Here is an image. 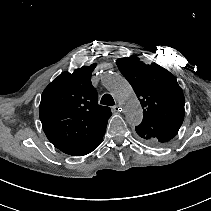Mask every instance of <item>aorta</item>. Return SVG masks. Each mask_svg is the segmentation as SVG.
<instances>
[{
  "label": "aorta",
  "mask_w": 211,
  "mask_h": 211,
  "mask_svg": "<svg viewBox=\"0 0 211 211\" xmlns=\"http://www.w3.org/2000/svg\"><path fill=\"white\" fill-rule=\"evenodd\" d=\"M105 86L124 106L127 121L131 125H138L143 116L142 108L128 81L121 76L109 74L105 78Z\"/></svg>",
  "instance_id": "762f6f07"
}]
</instances>
